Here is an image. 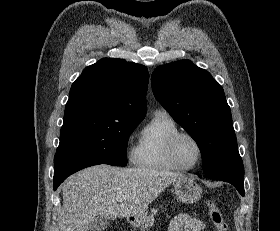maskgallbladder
I'll return each mask as SVG.
<instances>
[{
  "instance_id": "gallbladder-1",
  "label": "gallbladder",
  "mask_w": 280,
  "mask_h": 231,
  "mask_svg": "<svg viewBox=\"0 0 280 231\" xmlns=\"http://www.w3.org/2000/svg\"><path fill=\"white\" fill-rule=\"evenodd\" d=\"M108 225L109 219H106V217H95L93 221L88 223L87 231H103V229H106Z\"/></svg>"
}]
</instances>
